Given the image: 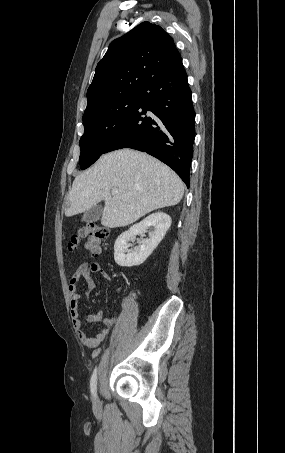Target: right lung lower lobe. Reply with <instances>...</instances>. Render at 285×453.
<instances>
[{
	"label": "right lung lower lobe",
	"mask_w": 285,
	"mask_h": 453,
	"mask_svg": "<svg viewBox=\"0 0 285 453\" xmlns=\"http://www.w3.org/2000/svg\"><path fill=\"white\" fill-rule=\"evenodd\" d=\"M192 93L182 63L151 80L105 153L132 148L158 158L189 187L195 139Z\"/></svg>",
	"instance_id": "obj_1"
}]
</instances>
